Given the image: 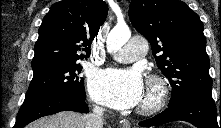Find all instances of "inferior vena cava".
I'll use <instances>...</instances> for the list:
<instances>
[{"mask_svg": "<svg viewBox=\"0 0 221 128\" xmlns=\"http://www.w3.org/2000/svg\"><path fill=\"white\" fill-rule=\"evenodd\" d=\"M103 112V108L95 106L93 112L84 117L85 128H103Z\"/></svg>", "mask_w": 221, "mask_h": 128, "instance_id": "inferior-vena-cava-1", "label": "inferior vena cava"}]
</instances>
